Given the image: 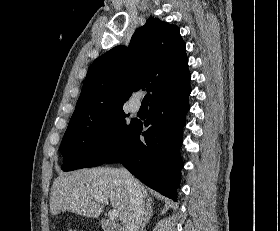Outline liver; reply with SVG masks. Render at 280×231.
Instances as JSON below:
<instances>
[{
	"label": "liver",
	"instance_id": "1",
	"mask_svg": "<svg viewBox=\"0 0 280 231\" xmlns=\"http://www.w3.org/2000/svg\"><path fill=\"white\" fill-rule=\"evenodd\" d=\"M143 199L152 201L144 185H140ZM106 197L117 209L121 223H124L131 209L130 195L122 169L117 167H93L63 171L53 181L50 193V211H73L78 215L99 217L104 205L97 199Z\"/></svg>",
	"mask_w": 280,
	"mask_h": 231
}]
</instances>
